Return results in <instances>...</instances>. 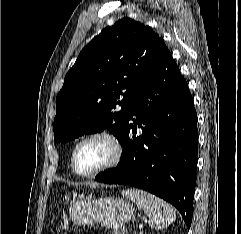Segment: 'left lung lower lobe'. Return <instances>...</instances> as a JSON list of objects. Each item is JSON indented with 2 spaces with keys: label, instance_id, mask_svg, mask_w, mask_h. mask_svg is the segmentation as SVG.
<instances>
[{
  "label": "left lung lower lobe",
  "instance_id": "obj_1",
  "mask_svg": "<svg viewBox=\"0 0 241 234\" xmlns=\"http://www.w3.org/2000/svg\"><path fill=\"white\" fill-rule=\"evenodd\" d=\"M137 128L141 129L138 133ZM197 143L193 98L166 48L130 103L119 164L95 179L135 186L161 197L179 210L189 228Z\"/></svg>",
  "mask_w": 241,
  "mask_h": 234
}]
</instances>
